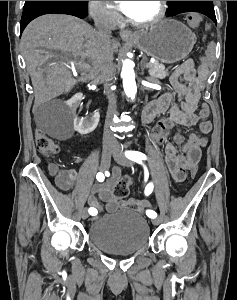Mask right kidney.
<instances>
[{
	"mask_svg": "<svg viewBox=\"0 0 237 300\" xmlns=\"http://www.w3.org/2000/svg\"><path fill=\"white\" fill-rule=\"evenodd\" d=\"M82 93H76L70 101H68V105L70 109H73V111H76L78 109L81 101H82ZM100 115L99 113H93V115H87L85 119H81V117H78V115H75L74 119V131H78L80 135H88V133H92L94 129H96L98 123H99Z\"/></svg>",
	"mask_w": 237,
	"mask_h": 300,
	"instance_id": "1",
	"label": "right kidney"
}]
</instances>
